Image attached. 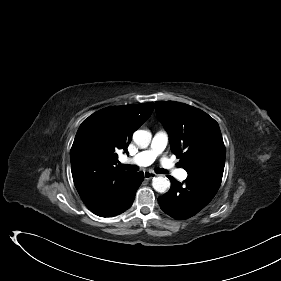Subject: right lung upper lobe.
<instances>
[{
  "label": "right lung upper lobe",
  "mask_w": 281,
  "mask_h": 281,
  "mask_svg": "<svg viewBox=\"0 0 281 281\" xmlns=\"http://www.w3.org/2000/svg\"><path fill=\"white\" fill-rule=\"evenodd\" d=\"M153 109L152 102L107 107L80 125L70 151L71 171L76 189L89 208L109 201L131 174L116 166V151L127 152L132 134Z\"/></svg>",
  "instance_id": "right-lung-upper-lobe-1"
}]
</instances>
